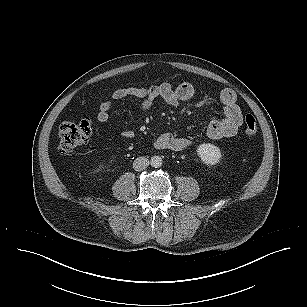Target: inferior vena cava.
<instances>
[{"mask_svg":"<svg viewBox=\"0 0 307 307\" xmlns=\"http://www.w3.org/2000/svg\"><path fill=\"white\" fill-rule=\"evenodd\" d=\"M149 166V160L146 157H138L133 162L135 171H142Z\"/></svg>","mask_w":307,"mask_h":307,"instance_id":"obj_1","label":"inferior vena cava"}]
</instances>
